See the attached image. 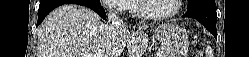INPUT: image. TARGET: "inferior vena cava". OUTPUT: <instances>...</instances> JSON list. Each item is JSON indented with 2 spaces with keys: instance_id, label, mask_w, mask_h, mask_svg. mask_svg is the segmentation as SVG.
<instances>
[{
  "instance_id": "1",
  "label": "inferior vena cava",
  "mask_w": 249,
  "mask_h": 57,
  "mask_svg": "<svg viewBox=\"0 0 249 57\" xmlns=\"http://www.w3.org/2000/svg\"><path fill=\"white\" fill-rule=\"evenodd\" d=\"M108 21H109V26L111 28L124 25L123 20L119 17V15H117V12L112 11V10L108 13Z\"/></svg>"
}]
</instances>
